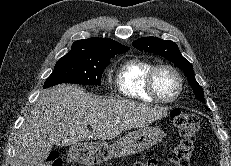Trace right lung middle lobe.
<instances>
[{"label": "right lung middle lobe", "instance_id": "dd1d6c3e", "mask_svg": "<svg viewBox=\"0 0 231 166\" xmlns=\"http://www.w3.org/2000/svg\"><path fill=\"white\" fill-rule=\"evenodd\" d=\"M114 56L115 54H110L94 58L66 54L57 61L52 74L44 83V88L61 83L100 85L102 73Z\"/></svg>", "mask_w": 231, "mask_h": 166}]
</instances>
